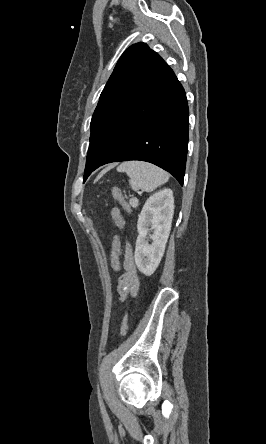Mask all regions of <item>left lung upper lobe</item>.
<instances>
[{
	"mask_svg": "<svg viewBox=\"0 0 266 444\" xmlns=\"http://www.w3.org/2000/svg\"><path fill=\"white\" fill-rule=\"evenodd\" d=\"M165 61L145 43L129 47L106 83L91 120L90 141L114 115L172 73Z\"/></svg>",
	"mask_w": 266,
	"mask_h": 444,
	"instance_id": "5c2ea615",
	"label": "left lung upper lobe"
}]
</instances>
